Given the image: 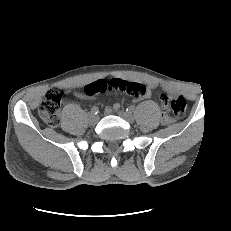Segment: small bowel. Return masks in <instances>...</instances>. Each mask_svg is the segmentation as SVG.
I'll use <instances>...</instances> for the list:
<instances>
[{
    "label": "small bowel",
    "instance_id": "1",
    "mask_svg": "<svg viewBox=\"0 0 231 231\" xmlns=\"http://www.w3.org/2000/svg\"><path fill=\"white\" fill-rule=\"evenodd\" d=\"M139 84H140V83H139ZM141 85H143V86L146 88V93H145L144 95H141V96L137 97L138 99H145V98H148V97L150 96V89L156 87V85H155L154 83H148L147 86L144 85V84H141ZM74 95L77 96V97H82V94L79 93V92H75ZM118 106H119L118 104H115V105L113 106V108H114V109H117ZM108 110L110 111V109H108ZM163 121H164V123L167 124V123H169L171 120H170V118L164 116Z\"/></svg>",
    "mask_w": 231,
    "mask_h": 231
}]
</instances>
